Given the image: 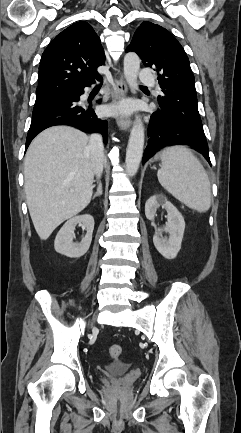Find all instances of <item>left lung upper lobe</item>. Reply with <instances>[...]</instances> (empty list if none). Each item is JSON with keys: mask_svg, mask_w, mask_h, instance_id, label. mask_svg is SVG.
<instances>
[{"mask_svg": "<svg viewBox=\"0 0 241 433\" xmlns=\"http://www.w3.org/2000/svg\"><path fill=\"white\" fill-rule=\"evenodd\" d=\"M129 51L136 52L146 67H155L163 92L158 96V109L205 137L194 75L181 44L165 28L145 21L136 30Z\"/></svg>", "mask_w": 241, "mask_h": 433, "instance_id": "left-lung-upper-lobe-1", "label": "left lung upper lobe"}]
</instances>
